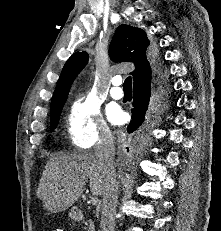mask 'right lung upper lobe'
Segmentation results:
<instances>
[{"label": "right lung upper lobe", "mask_w": 221, "mask_h": 231, "mask_svg": "<svg viewBox=\"0 0 221 231\" xmlns=\"http://www.w3.org/2000/svg\"><path fill=\"white\" fill-rule=\"evenodd\" d=\"M149 40L144 30L130 25H120L112 39L109 55L114 62H132L135 65L133 75L134 87L148 83L156 72V61H152L149 53ZM88 62L86 52L74 53L64 65L58 80L51 110L66 101L69 88L75 77Z\"/></svg>", "instance_id": "right-lung-upper-lobe-1"}]
</instances>
